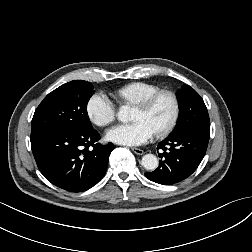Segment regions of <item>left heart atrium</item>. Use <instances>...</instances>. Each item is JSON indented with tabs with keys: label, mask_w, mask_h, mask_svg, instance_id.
Listing matches in <instances>:
<instances>
[{
	"label": "left heart atrium",
	"mask_w": 252,
	"mask_h": 252,
	"mask_svg": "<svg viewBox=\"0 0 252 252\" xmlns=\"http://www.w3.org/2000/svg\"><path fill=\"white\" fill-rule=\"evenodd\" d=\"M155 131L143 120L129 124H118L106 133V139L116 144L136 146L148 142Z\"/></svg>",
	"instance_id": "39dd6f15"
}]
</instances>
